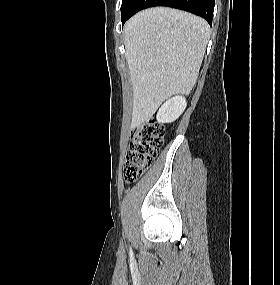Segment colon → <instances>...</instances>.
<instances>
[{"label":"colon","instance_id":"obj_1","mask_svg":"<svg viewBox=\"0 0 280 285\" xmlns=\"http://www.w3.org/2000/svg\"><path fill=\"white\" fill-rule=\"evenodd\" d=\"M164 142V128L154 121L138 125L132 133L124 164V178L134 183L151 166Z\"/></svg>","mask_w":280,"mask_h":285}]
</instances>
